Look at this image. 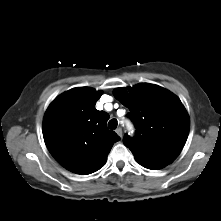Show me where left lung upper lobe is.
Wrapping results in <instances>:
<instances>
[{
  "mask_svg": "<svg viewBox=\"0 0 221 221\" xmlns=\"http://www.w3.org/2000/svg\"><path fill=\"white\" fill-rule=\"evenodd\" d=\"M114 96L128 107L136 135L124 138L135 159L172 162L183 149L190 128L189 116L180 99L158 85L141 83L116 88Z\"/></svg>",
  "mask_w": 221,
  "mask_h": 221,
  "instance_id": "1",
  "label": "left lung upper lobe"
}]
</instances>
